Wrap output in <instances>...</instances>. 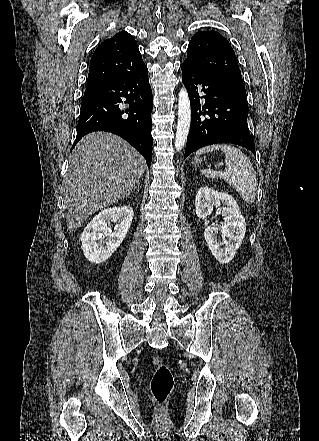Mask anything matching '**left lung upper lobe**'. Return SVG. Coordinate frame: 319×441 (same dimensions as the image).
<instances>
[{"label": "left lung upper lobe", "mask_w": 319, "mask_h": 441, "mask_svg": "<svg viewBox=\"0 0 319 441\" xmlns=\"http://www.w3.org/2000/svg\"><path fill=\"white\" fill-rule=\"evenodd\" d=\"M185 61L226 80L246 95L237 57L228 40L218 32L195 33L188 45Z\"/></svg>", "instance_id": "left-lung-upper-lobe-1"}]
</instances>
